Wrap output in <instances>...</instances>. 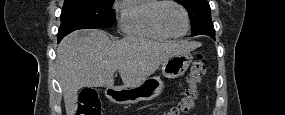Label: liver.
I'll list each match as a JSON object with an SVG mask.
<instances>
[{
	"label": "liver",
	"mask_w": 285,
	"mask_h": 115,
	"mask_svg": "<svg viewBox=\"0 0 285 115\" xmlns=\"http://www.w3.org/2000/svg\"><path fill=\"white\" fill-rule=\"evenodd\" d=\"M198 42H156L141 37L111 41L102 30H79L57 48L56 69L67 115H75L82 87H109L119 72L125 86L147 79L167 58L189 53Z\"/></svg>",
	"instance_id": "1"
}]
</instances>
